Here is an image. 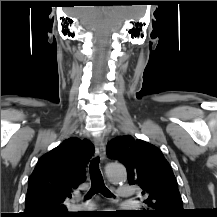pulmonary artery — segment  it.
Listing matches in <instances>:
<instances>
[{"label": "pulmonary artery", "mask_w": 217, "mask_h": 217, "mask_svg": "<svg viewBox=\"0 0 217 217\" xmlns=\"http://www.w3.org/2000/svg\"><path fill=\"white\" fill-rule=\"evenodd\" d=\"M134 194V189L130 186H121L117 189V197L124 200H129ZM91 205H86L85 208H90Z\"/></svg>", "instance_id": "1"}]
</instances>
